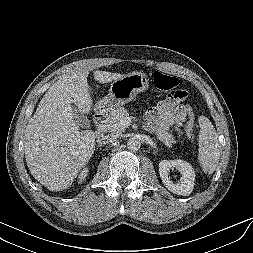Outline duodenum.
Here are the masks:
<instances>
[{
    "instance_id": "obj_1",
    "label": "duodenum",
    "mask_w": 253,
    "mask_h": 253,
    "mask_svg": "<svg viewBox=\"0 0 253 253\" xmlns=\"http://www.w3.org/2000/svg\"><path fill=\"white\" fill-rule=\"evenodd\" d=\"M106 114L103 111H97L94 115V125L99 135L105 133Z\"/></svg>"
}]
</instances>
